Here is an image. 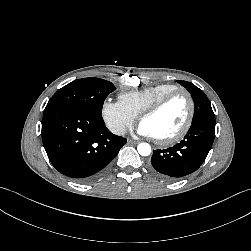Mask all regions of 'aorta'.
<instances>
[{
	"label": "aorta",
	"mask_w": 251,
	"mask_h": 251,
	"mask_svg": "<svg viewBox=\"0 0 251 251\" xmlns=\"http://www.w3.org/2000/svg\"><path fill=\"white\" fill-rule=\"evenodd\" d=\"M137 150L141 156H148L151 153V146L148 143H140Z\"/></svg>",
	"instance_id": "obj_1"
}]
</instances>
